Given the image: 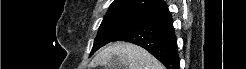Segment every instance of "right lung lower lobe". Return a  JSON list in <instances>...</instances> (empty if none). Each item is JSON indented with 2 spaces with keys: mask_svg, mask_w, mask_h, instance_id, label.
I'll return each instance as SVG.
<instances>
[{
  "mask_svg": "<svg viewBox=\"0 0 246 69\" xmlns=\"http://www.w3.org/2000/svg\"><path fill=\"white\" fill-rule=\"evenodd\" d=\"M141 16V22L113 41H127L139 45L154 55L167 69H179L176 36L168 6L163 4Z\"/></svg>",
  "mask_w": 246,
  "mask_h": 69,
  "instance_id": "98d812e1",
  "label": "right lung lower lobe"
}]
</instances>
